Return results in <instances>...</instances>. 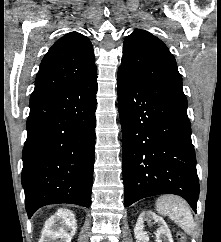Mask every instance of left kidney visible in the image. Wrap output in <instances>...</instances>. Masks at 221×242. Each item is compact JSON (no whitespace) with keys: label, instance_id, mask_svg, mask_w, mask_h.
Wrapping results in <instances>:
<instances>
[{"label":"left kidney","instance_id":"left-kidney-1","mask_svg":"<svg viewBox=\"0 0 221 242\" xmlns=\"http://www.w3.org/2000/svg\"><path fill=\"white\" fill-rule=\"evenodd\" d=\"M154 220V223L159 225L158 230L155 235L157 238V242H173V238L164 219L158 215H156L152 211H144L139 215L136 226L134 228V235L136 238V242H148L149 236L146 231H144V222L148 220Z\"/></svg>","mask_w":221,"mask_h":242}]
</instances>
